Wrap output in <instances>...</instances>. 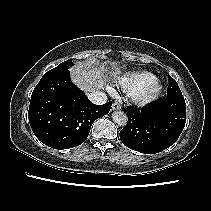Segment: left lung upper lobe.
<instances>
[{
	"label": "left lung upper lobe",
	"instance_id": "left-lung-upper-lobe-1",
	"mask_svg": "<svg viewBox=\"0 0 211 211\" xmlns=\"http://www.w3.org/2000/svg\"><path fill=\"white\" fill-rule=\"evenodd\" d=\"M168 84H169V86H168L167 96L182 95L177 82L172 77H168Z\"/></svg>",
	"mask_w": 211,
	"mask_h": 211
}]
</instances>
